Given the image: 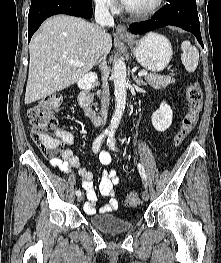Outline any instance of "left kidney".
<instances>
[{"instance_id": "left-kidney-1", "label": "left kidney", "mask_w": 221, "mask_h": 263, "mask_svg": "<svg viewBox=\"0 0 221 263\" xmlns=\"http://www.w3.org/2000/svg\"><path fill=\"white\" fill-rule=\"evenodd\" d=\"M173 119V111L171 107L163 101L160 108L152 114L151 121L154 128L159 132L167 130Z\"/></svg>"}]
</instances>
